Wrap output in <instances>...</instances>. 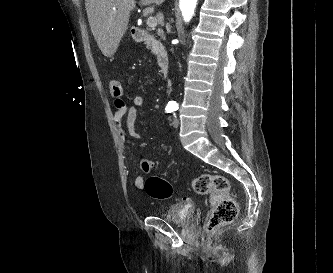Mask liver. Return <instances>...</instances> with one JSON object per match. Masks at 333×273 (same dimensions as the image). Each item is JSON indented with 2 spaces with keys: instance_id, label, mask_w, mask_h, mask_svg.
Wrapping results in <instances>:
<instances>
[{
  "instance_id": "1",
  "label": "liver",
  "mask_w": 333,
  "mask_h": 273,
  "mask_svg": "<svg viewBox=\"0 0 333 273\" xmlns=\"http://www.w3.org/2000/svg\"><path fill=\"white\" fill-rule=\"evenodd\" d=\"M165 0H140L142 6L161 5ZM135 0H85L91 32L102 54L112 57L128 29ZM115 8V10H113Z\"/></svg>"
}]
</instances>
